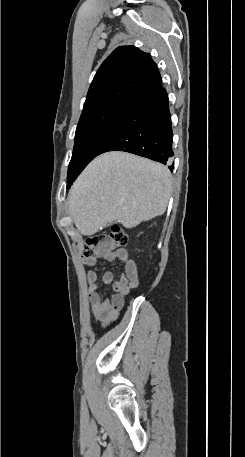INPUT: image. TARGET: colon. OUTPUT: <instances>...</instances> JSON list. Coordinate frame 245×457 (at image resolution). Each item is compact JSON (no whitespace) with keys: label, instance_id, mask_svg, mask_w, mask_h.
Returning <instances> with one entry per match:
<instances>
[{"label":"colon","instance_id":"obj_1","mask_svg":"<svg viewBox=\"0 0 245 457\" xmlns=\"http://www.w3.org/2000/svg\"><path fill=\"white\" fill-rule=\"evenodd\" d=\"M128 236L124 229L113 225L108 232H99L88 237L84 244L83 257L106 256L124 247Z\"/></svg>","mask_w":245,"mask_h":457}]
</instances>
